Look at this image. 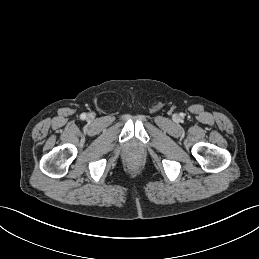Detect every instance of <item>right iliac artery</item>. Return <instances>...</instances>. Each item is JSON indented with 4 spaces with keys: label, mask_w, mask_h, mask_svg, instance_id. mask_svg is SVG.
<instances>
[{
    "label": "right iliac artery",
    "mask_w": 259,
    "mask_h": 259,
    "mask_svg": "<svg viewBox=\"0 0 259 259\" xmlns=\"http://www.w3.org/2000/svg\"><path fill=\"white\" fill-rule=\"evenodd\" d=\"M80 118H81L82 120H84V119L86 118V114H85V113H82L81 116H80Z\"/></svg>",
    "instance_id": "82829eb1"
}]
</instances>
